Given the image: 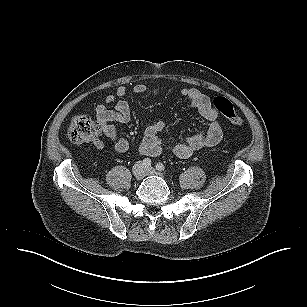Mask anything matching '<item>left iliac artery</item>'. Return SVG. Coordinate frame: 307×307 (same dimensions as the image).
I'll use <instances>...</instances> for the list:
<instances>
[{
    "label": "left iliac artery",
    "instance_id": "44dca946",
    "mask_svg": "<svg viewBox=\"0 0 307 307\" xmlns=\"http://www.w3.org/2000/svg\"><path fill=\"white\" fill-rule=\"evenodd\" d=\"M156 169L159 170V171H164L165 170V166L163 163H157L156 164Z\"/></svg>",
    "mask_w": 307,
    "mask_h": 307
}]
</instances>
